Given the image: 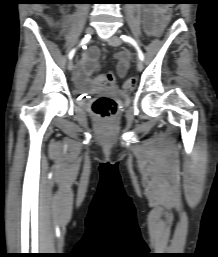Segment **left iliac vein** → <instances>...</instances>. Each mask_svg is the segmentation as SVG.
<instances>
[{
    "label": "left iliac vein",
    "mask_w": 218,
    "mask_h": 257,
    "mask_svg": "<svg viewBox=\"0 0 218 257\" xmlns=\"http://www.w3.org/2000/svg\"><path fill=\"white\" fill-rule=\"evenodd\" d=\"M108 43L111 46H119L122 43V41L117 35H113L108 39ZM137 69L139 71L143 70V63L140 59L137 60Z\"/></svg>",
    "instance_id": "4c4485c4"
}]
</instances>
